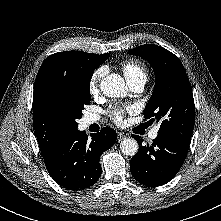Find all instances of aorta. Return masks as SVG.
<instances>
[{
    "label": "aorta",
    "instance_id": "aorta-1",
    "mask_svg": "<svg viewBox=\"0 0 221 221\" xmlns=\"http://www.w3.org/2000/svg\"><path fill=\"white\" fill-rule=\"evenodd\" d=\"M100 88L103 94L108 97L116 98L127 95V86L124 79L115 73L103 78ZM120 149L123 154L134 156L138 152V143L133 138H127L120 143Z\"/></svg>",
    "mask_w": 221,
    "mask_h": 221
}]
</instances>
